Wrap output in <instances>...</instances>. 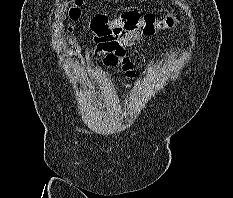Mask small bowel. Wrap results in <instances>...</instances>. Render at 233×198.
<instances>
[{"label": "small bowel", "instance_id": "small-bowel-1", "mask_svg": "<svg viewBox=\"0 0 233 198\" xmlns=\"http://www.w3.org/2000/svg\"><path fill=\"white\" fill-rule=\"evenodd\" d=\"M143 34L137 31H118L112 36L97 41L95 55L104 66L118 67L127 79L136 75L133 61L126 55L125 48L139 41Z\"/></svg>", "mask_w": 233, "mask_h": 198}]
</instances>
